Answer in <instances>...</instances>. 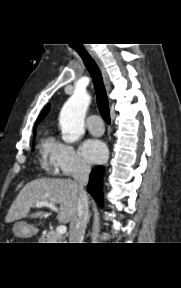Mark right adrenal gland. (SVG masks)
Masks as SVG:
<instances>
[{"label":"right adrenal gland","instance_id":"1","mask_svg":"<svg viewBox=\"0 0 181 288\" xmlns=\"http://www.w3.org/2000/svg\"><path fill=\"white\" fill-rule=\"evenodd\" d=\"M89 219H90V214H89V216H88V222H89Z\"/></svg>","mask_w":181,"mask_h":288}]
</instances>
